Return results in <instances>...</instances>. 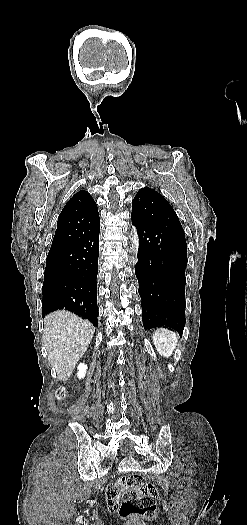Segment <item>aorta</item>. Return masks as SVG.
Wrapping results in <instances>:
<instances>
[{"label": "aorta", "instance_id": "1", "mask_svg": "<svg viewBox=\"0 0 247 525\" xmlns=\"http://www.w3.org/2000/svg\"><path fill=\"white\" fill-rule=\"evenodd\" d=\"M131 241H132V245L136 248V250L139 248V237L137 235V232L134 231L133 235H132V238H131Z\"/></svg>", "mask_w": 247, "mask_h": 525}]
</instances>
